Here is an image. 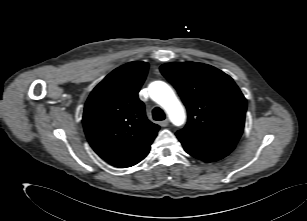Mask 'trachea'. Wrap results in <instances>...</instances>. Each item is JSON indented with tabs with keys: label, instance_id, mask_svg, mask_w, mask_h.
<instances>
[{
	"label": "trachea",
	"instance_id": "3493384b",
	"mask_svg": "<svg viewBox=\"0 0 307 221\" xmlns=\"http://www.w3.org/2000/svg\"><path fill=\"white\" fill-rule=\"evenodd\" d=\"M152 115H153V119L154 120H164L165 119V113L159 107H155L153 109Z\"/></svg>",
	"mask_w": 307,
	"mask_h": 221
}]
</instances>
